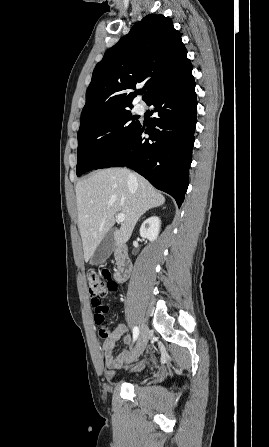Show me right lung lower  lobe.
<instances>
[{
  "mask_svg": "<svg viewBox=\"0 0 269 447\" xmlns=\"http://www.w3.org/2000/svg\"><path fill=\"white\" fill-rule=\"evenodd\" d=\"M156 118L139 127L94 169L131 168L154 187L170 194L180 207L189 183L197 100L192 65L164 82L145 101ZM149 135V139L144 137Z\"/></svg>",
  "mask_w": 269,
  "mask_h": 447,
  "instance_id": "1",
  "label": "right lung lower lobe"
}]
</instances>
